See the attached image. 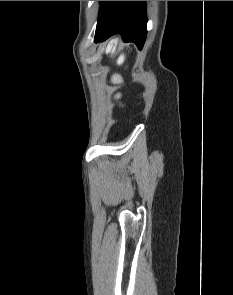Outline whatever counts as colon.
<instances>
[{
	"label": "colon",
	"instance_id": "colon-1",
	"mask_svg": "<svg viewBox=\"0 0 233 295\" xmlns=\"http://www.w3.org/2000/svg\"><path fill=\"white\" fill-rule=\"evenodd\" d=\"M115 49H116V43H115V42L110 43V44L107 46V52H108V53L113 54V53L115 52Z\"/></svg>",
	"mask_w": 233,
	"mask_h": 295
}]
</instances>
